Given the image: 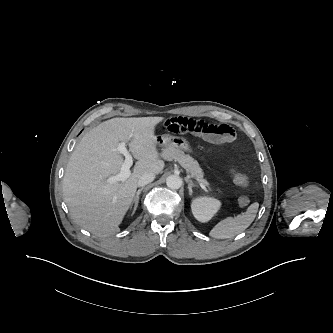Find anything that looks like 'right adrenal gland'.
<instances>
[{"mask_svg": "<svg viewBox=\"0 0 333 333\" xmlns=\"http://www.w3.org/2000/svg\"><path fill=\"white\" fill-rule=\"evenodd\" d=\"M143 188H140L137 193H136V196L133 198V201H132V205L134 204V208H133V213H135L137 207H138V203H139V195L140 193L142 192Z\"/></svg>", "mask_w": 333, "mask_h": 333, "instance_id": "2a0ac1e0", "label": "right adrenal gland"}]
</instances>
